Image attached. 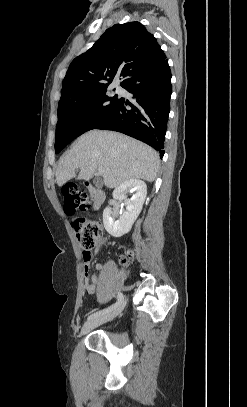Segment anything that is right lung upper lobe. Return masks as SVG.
I'll list each match as a JSON object with an SVG mask.
<instances>
[{
    "label": "right lung upper lobe",
    "mask_w": 247,
    "mask_h": 407,
    "mask_svg": "<svg viewBox=\"0 0 247 407\" xmlns=\"http://www.w3.org/2000/svg\"><path fill=\"white\" fill-rule=\"evenodd\" d=\"M165 59L156 38L144 25L139 22L116 24L72 61L63 80L58 106L107 89L117 75L123 78V87L132 75Z\"/></svg>",
    "instance_id": "obj_1"
}]
</instances>
